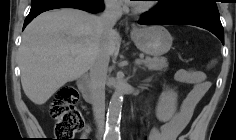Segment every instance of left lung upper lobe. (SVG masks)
Segmentation results:
<instances>
[{
    "label": "left lung upper lobe",
    "instance_id": "obj_1",
    "mask_svg": "<svg viewBox=\"0 0 236 140\" xmlns=\"http://www.w3.org/2000/svg\"><path fill=\"white\" fill-rule=\"evenodd\" d=\"M215 0H162L157 9L163 13L200 12L219 15Z\"/></svg>",
    "mask_w": 236,
    "mask_h": 140
}]
</instances>
